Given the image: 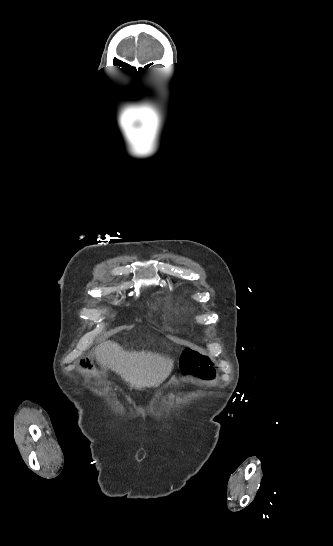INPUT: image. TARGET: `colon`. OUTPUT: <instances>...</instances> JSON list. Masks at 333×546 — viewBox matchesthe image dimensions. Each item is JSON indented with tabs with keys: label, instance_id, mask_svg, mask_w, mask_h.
<instances>
[{
	"label": "colon",
	"instance_id": "colon-1",
	"mask_svg": "<svg viewBox=\"0 0 333 546\" xmlns=\"http://www.w3.org/2000/svg\"><path fill=\"white\" fill-rule=\"evenodd\" d=\"M82 365L86 361L81 362ZM86 369L92 368L90 364L84 366ZM182 368L186 374L199 377L203 380H212L215 376V369L212 366L211 359L202 350L188 348L182 354Z\"/></svg>",
	"mask_w": 333,
	"mask_h": 546
}]
</instances>
